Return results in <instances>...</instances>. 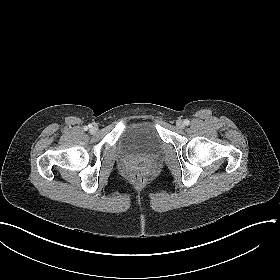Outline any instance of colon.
Listing matches in <instances>:
<instances>
[{"mask_svg": "<svg viewBox=\"0 0 280 280\" xmlns=\"http://www.w3.org/2000/svg\"><path fill=\"white\" fill-rule=\"evenodd\" d=\"M131 177H132V184L135 187L140 188V187L145 185L146 178H145V175L143 174V172L141 170L135 169L132 172Z\"/></svg>", "mask_w": 280, "mask_h": 280, "instance_id": "5ec220e1", "label": "colon"}]
</instances>
